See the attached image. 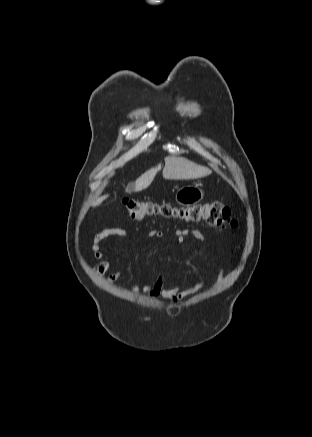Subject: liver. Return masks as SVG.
Segmentation results:
<instances>
[{
    "mask_svg": "<svg viewBox=\"0 0 312 437\" xmlns=\"http://www.w3.org/2000/svg\"><path fill=\"white\" fill-rule=\"evenodd\" d=\"M160 170V165L153 167L142 174L135 182L134 186L126 188V192L134 190L140 192L152 183L157 172ZM212 171L204 166L195 164L184 157L168 156L165 158V167L163 169V177L165 179H197L208 176ZM108 195L98 198L94 202V206L100 205Z\"/></svg>",
    "mask_w": 312,
    "mask_h": 437,
    "instance_id": "liver-1",
    "label": "liver"
}]
</instances>
